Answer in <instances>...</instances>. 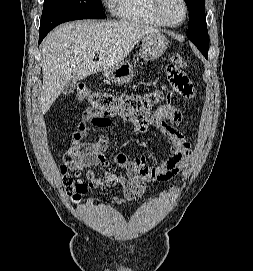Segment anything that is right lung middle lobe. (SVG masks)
Listing matches in <instances>:
<instances>
[{"instance_id":"1","label":"right lung middle lobe","mask_w":253,"mask_h":271,"mask_svg":"<svg viewBox=\"0 0 253 271\" xmlns=\"http://www.w3.org/2000/svg\"><path fill=\"white\" fill-rule=\"evenodd\" d=\"M101 0H44L40 32L77 19H103Z\"/></svg>"}]
</instances>
